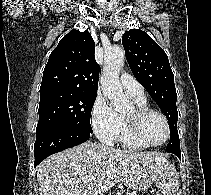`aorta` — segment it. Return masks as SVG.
Listing matches in <instances>:
<instances>
[{"mask_svg":"<svg viewBox=\"0 0 211 195\" xmlns=\"http://www.w3.org/2000/svg\"><path fill=\"white\" fill-rule=\"evenodd\" d=\"M124 59L125 52L121 47H113L106 51L101 77L103 94L118 112L132 108V102L124 95L119 80V72L124 65Z\"/></svg>","mask_w":211,"mask_h":195,"instance_id":"762f6f07","label":"aorta"}]
</instances>
